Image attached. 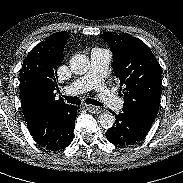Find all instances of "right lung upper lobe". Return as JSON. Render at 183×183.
<instances>
[{
	"label": "right lung upper lobe",
	"instance_id": "1",
	"mask_svg": "<svg viewBox=\"0 0 183 183\" xmlns=\"http://www.w3.org/2000/svg\"><path fill=\"white\" fill-rule=\"evenodd\" d=\"M68 33H55L35 46L25 58L20 71V99L27 120L41 110H67L72 106L55 99L57 66L62 62Z\"/></svg>",
	"mask_w": 183,
	"mask_h": 183
}]
</instances>
